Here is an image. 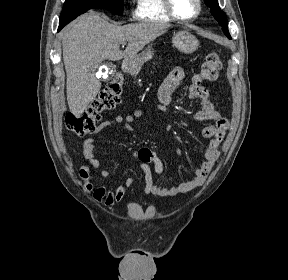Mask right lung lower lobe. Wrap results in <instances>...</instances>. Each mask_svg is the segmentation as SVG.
<instances>
[{"label":"right lung lower lobe","instance_id":"right-lung-lower-lobe-1","mask_svg":"<svg viewBox=\"0 0 288 280\" xmlns=\"http://www.w3.org/2000/svg\"><path fill=\"white\" fill-rule=\"evenodd\" d=\"M86 11L82 12V13H79V14H75V15H72L64 20H61L59 21V28H58V31H60L65 25H67L70 21H72L73 19H75L77 16L85 13Z\"/></svg>","mask_w":288,"mask_h":280}]
</instances>
